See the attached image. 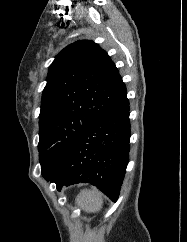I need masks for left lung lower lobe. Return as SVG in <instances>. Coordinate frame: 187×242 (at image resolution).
Instances as JSON below:
<instances>
[{
    "mask_svg": "<svg viewBox=\"0 0 187 242\" xmlns=\"http://www.w3.org/2000/svg\"><path fill=\"white\" fill-rule=\"evenodd\" d=\"M129 101L126 94L81 136L47 181L63 186L91 183L117 201L129 157Z\"/></svg>",
    "mask_w": 187,
    "mask_h": 242,
    "instance_id": "1",
    "label": "left lung lower lobe"
}]
</instances>
